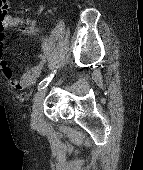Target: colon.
Masks as SVG:
<instances>
[{"mask_svg": "<svg viewBox=\"0 0 143 170\" xmlns=\"http://www.w3.org/2000/svg\"><path fill=\"white\" fill-rule=\"evenodd\" d=\"M7 9V0H0V18H3L7 15Z\"/></svg>", "mask_w": 143, "mask_h": 170, "instance_id": "1", "label": "colon"}]
</instances>
